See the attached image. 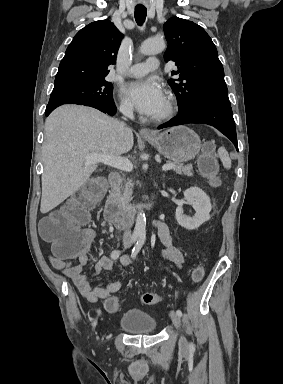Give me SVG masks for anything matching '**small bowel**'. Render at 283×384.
I'll list each match as a JSON object with an SVG mask.
<instances>
[{"label":"small bowel","mask_w":283,"mask_h":384,"mask_svg":"<svg viewBox=\"0 0 283 384\" xmlns=\"http://www.w3.org/2000/svg\"><path fill=\"white\" fill-rule=\"evenodd\" d=\"M153 225L157 230L162 244L164 245L163 257L168 261L173 262L177 266H180L184 261V257L182 252L173 245L168 226L160 220H155ZM87 261V253L80 255L77 258V263L67 262L64 259L58 257L55 253L51 254L50 256V262L53 267L71 279L80 291L81 295L89 302H97L101 299L108 298L121 289L122 280L120 278H115L112 282L109 283H102L98 286H92L90 283V278L82 273V267L87 263ZM120 262L123 266H129L132 263L128 256H123L120 259ZM112 267V258L110 256H103L96 262L92 276H100L104 271L110 272L112 271Z\"/></svg>","instance_id":"small-bowel-1"}]
</instances>
